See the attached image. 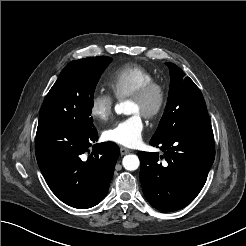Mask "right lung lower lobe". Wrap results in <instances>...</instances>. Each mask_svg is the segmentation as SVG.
<instances>
[{
  "instance_id": "obj_1",
  "label": "right lung lower lobe",
  "mask_w": 246,
  "mask_h": 246,
  "mask_svg": "<svg viewBox=\"0 0 246 246\" xmlns=\"http://www.w3.org/2000/svg\"><path fill=\"white\" fill-rule=\"evenodd\" d=\"M97 140L95 128H37L35 151L39 168L52 192L72 207H93L107 194L120 150L115 143L105 142L94 145L91 153L89 147Z\"/></svg>"
}]
</instances>
